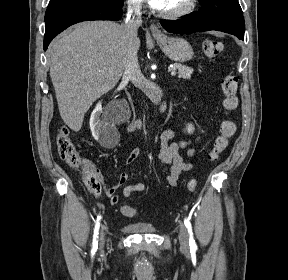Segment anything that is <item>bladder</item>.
Masks as SVG:
<instances>
[{
	"mask_svg": "<svg viewBox=\"0 0 288 280\" xmlns=\"http://www.w3.org/2000/svg\"><path fill=\"white\" fill-rule=\"evenodd\" d=\"M124 229L130 233H154L156 227L148 222H134L124 225Z\"/></svg>",
	"mask_w": 288,
	"mask_h": 280,
	"instance_id": "1",
	"label": "bladder"
}]
</instances>
